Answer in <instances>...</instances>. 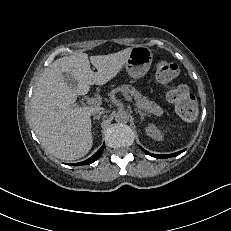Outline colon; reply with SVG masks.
<instances>
[{
    "instance_id": "1",
    "label": "colon",
    "mask_w": 231,
    "mask_h": 231,
    "mask_svg": "<svg viewBox=\"0 0 231 231\" xmlns=\"http://www.w3.org/2000/svg\"><path fill=\"white\" fill-rule=\"evenodd\" d=\"M157 80L168 89V100L175 105L180 117L187 121H193L198 115V105L195 96L184 84H174L179 75L177 64L165 60H159L155 64Z\"/></svg>"
}]
</instances>
